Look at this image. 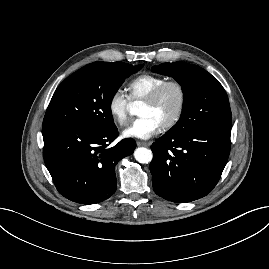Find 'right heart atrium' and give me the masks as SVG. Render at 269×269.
<instances>
[{
  "label": "right heart atrium",
  "instance_id": "obj_1",
  "mask_svg": "<svg viewBox=\"0 0 269 269\" xmlns=\"http://www.w3.org/2000/svg\"><path fill=\"white\" fill-rule=\"evenodd\" d=\"M129 99L120 89L115 90L108 100V111L112 120L119 126L128 121Z\"/></svg>",
  "mask_w": 269,
  "mask_h": 269
}]
</instances>
